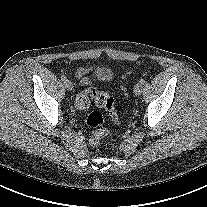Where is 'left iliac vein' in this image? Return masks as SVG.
Returning a JSON list of instances; mask_svg holds the SVG:
<instances>
[{"label":"left iliac vein","instance_id":"obj_1","mask_svg":"<svg viewBox=\"0 0 207 207\" xmlns=\"http://www.w3.org/2000/svg\"><path fill=\"white\" fill-rule=\"evenodd\" d=\"M141 92H142V84L137 83V84L134 86V93H135V95H140Z\"/></svg>","mask_w":207,"mask_h":207}]
</instances>
